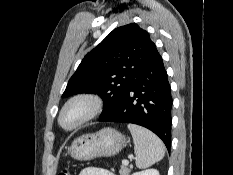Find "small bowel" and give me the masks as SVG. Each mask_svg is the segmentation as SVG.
<instances>
[{"label": "small bowel", "mask_w": 233, "mask_h": 175, "mask_svg": "<svg viewBox=\"0 0 233 175\" xmlns=\"http://www.w3.org/2000/svg\"><path fill=\"white\" fill-rule=\"evenodd\" d=\"M79 175H116L109 170L96 168V167H87L84 168Z\"/></svg>", "instance_id": "small-bowel-1"}]
</instances>
